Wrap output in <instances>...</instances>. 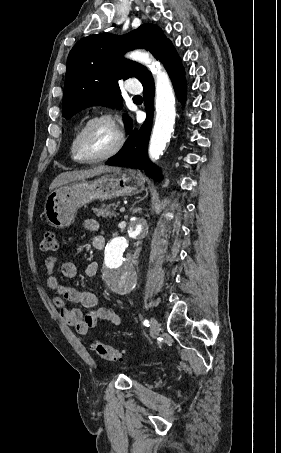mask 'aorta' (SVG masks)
I'll use <instances>...</instances> for the list:
<instances>
[{
    "label": "aorta",
    "instance_id": "aorta-1",
    "mask_svg": "<svg viewBox=\"0 0 281 453\" xmlns=\"http://www.w3.org/2000/svg\"><path fill=\"white\" fill-rule=\"evenodd\" d=\"M128 57L146 65L155 77V110L156 117L152 130L148 153L151 160L163 155L166 144L170 141L175 124V96L171 81L163 66L149 53L131 52ZM144 233L142 223H135L125 237H115L105 248L104 263L107 268L105 283L109 289L119 295L129 293L136 284V272L131 263L123 258V252L132 240Z\"/></svg>",
    "mask_w": 281,
    "mask_h": 453
}]
</instances>
